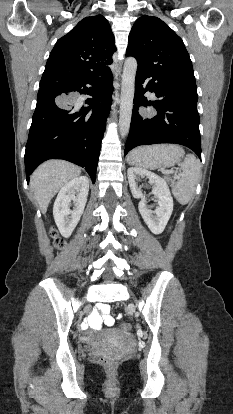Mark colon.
Here are the masks:
<instances>
[{"instance_id": "obj_1", "label": "colon", "mask_w": 233, "mask_h": 414, "mask_svg": "<svg viewBox=\"0 0 233 414\" xmlns=\"http://www.w3.org/2000/svg\"><path fill=\"white\" fill-rule=\"evenodd\" d=\"M51 237L53 238V242L56 248L61 249L64 246V241L58 236L57 232L55 230L51 231ZM120 328L128 332L131 330V324L129 322H122L120 324ZM99 362L106 368H112L115 365L114 359L108 357V356H101L99 358Z\"/></svg>"}]
</instances>
